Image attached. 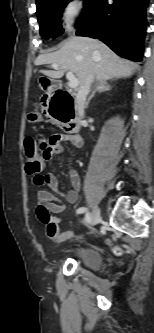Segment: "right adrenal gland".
Listing matches in <instances>:
<instances>
[{
    "label": "right adrenal gland",
    "mask_w": 154,
    "mask_h": 333,
    "mask_svg": "<svg viewBox=\"0 0 154 333\" xmlns=\"http://www.w3.org/2000/svg\"><path fill=\"white\" fill-rule=\"evenodd\" d=\"M109 90H111V86L107 83V81H105V80L99 81L96 84L95 89L93 90V92L89 96V98L86 102V107L88 106L90 100L94 97L96 92H104V91H109Z\"/></svg>",
    "instance_id": "1"
}]
</instances>
